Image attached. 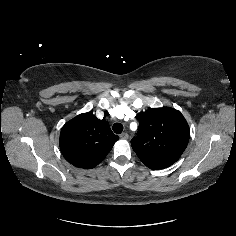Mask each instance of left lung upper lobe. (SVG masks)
<instances>
[{
	"label": "left lung upper lobe",
	"instance_id": "1",
	"mask_svg": "<svg viewBox=\"0 0 236 236\" xmlns=\"http://www.w3.org/2000/svg\"><path fill=\"white\" fill-rule=\"evenodd\" d=\"M137 137L131 145L150 169H164L174 164L187 147L190 130L183 115L172 108H154L139 118Z\"/></svg>",
	"mask_w": 236,
	"mask_h": 236
}]
</instances>
